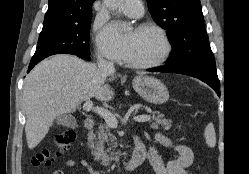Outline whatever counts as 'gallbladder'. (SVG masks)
<instances>
[{"label":"gallbladder","instance_id":"obj_1","mask_svg":"<svg viewBox=\"0 0 249 174\" xmlns=\"http://www.w3.org/2000/svg\"><path fill=\"white\" fill-rule=\"evenodd\" d=\"M55 122L58 125H63V126L71 127V128H74L77 125V121L75 117H73L72 115H66V114L58 116L55 119Z\"/></svg>","mask_w":249,"mask_h":174}]
</instances>
